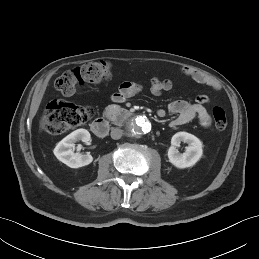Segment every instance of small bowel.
Segmentation results:
<instances>
[{"label":"small bowel","mask_w":259,"mask_h":259,"mask_svg":"<svg viewBox=\"0 0 259 259\" xmlns=\"http://www.w3.org/2000/svg\"><path fill=\"white\" fill-rule=\"evenodd\" d=\"M180 71L182 75L197 83L207 85L215 90L220 89L219 82L204 72L189 67H182ZM172 88L173 83L169 79L160 80L158 78H153L151 81L150 90L155 96L168 92ZM140 91L141 85L138 83L133 81H124L121 83L118 90L112 94L111 98L116 103H122ZM207 102L208 98L204 95L198 96L196 101L193 103L182 99L172 101L168 106V111L176 115V118L172 121V126L186 124L198 117L201 126L208 128L211 125V119L204 107V104ZM157 115L159 117H164L166 115V111L164 109H159L157 111Z\"/></svg>","instance_id":"c3829d8e"}]
</instances>
